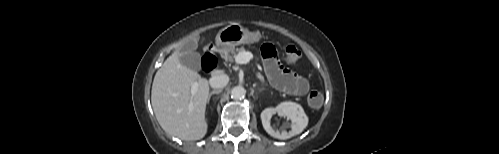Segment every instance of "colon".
<instances>
[{"mask_svg": "<svg viewBox=\"0 0 499 154\" xmlns=\"http://www.w3.org/2000/svg\"><path fill=\"white\" fill-rule=\"evenodd\" d=\"M301 55V51L296 46L289 45L284 49L283 57L286 63L295 64L300 60ZM211 59L215 68L217 66V58L215 56H212ZM308 103L313 108L320 107L323 103L322 94L317 90L310 91L308 95Z\"/></svg>", "mask_w": 499, "mask_h": 154, "instance_id": "colon-1", "label": "colon"}]
</instances>
